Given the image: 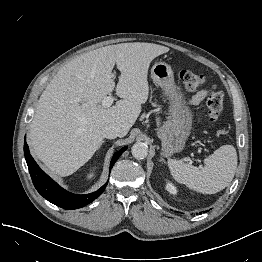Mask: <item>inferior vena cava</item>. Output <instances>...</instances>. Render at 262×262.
I'll list each match as a JSON object with an SVG mask.
<instances>
[{
  "label": "inferior vena cava",
  "instance_id": "obj_1",
  "mask_svg": "<svg viewBox=\"0 0 262 262\" xmlns=\"http://www.w3.org/2000/svg\"><path fill=\"white\" fill-rule=\"evenodd\" d=\"M105 138L114 139L120 135V128L115 124H108L102 129Z\"/></svg>",
  "mask_w": 262,
  "mask_h": 262
}]
</instances>
